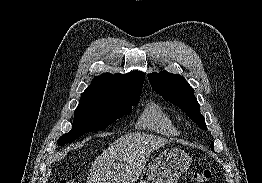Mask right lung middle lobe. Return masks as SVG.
Wrapping results in <instances>:
<instances>
[{
  "label": "right lung middle lobe",
  "instance_id": "dd1d6c3e",
  "mask_svg": "<svg viewBox=\"0 0 262 183\" xmlns=\"http://www.w3.org/2000/svg\"><path fill=\"white\" fill-rule=\"evenodd\" d=\"M139 99L107 101L92 98H81L74 112V121L70 132L61 136L57 143H71L83 134L103 130L117 119L128 114Z\"/></svg>",
  "mask_w": 262,
  "mask_h": 183
}]
</instances>
